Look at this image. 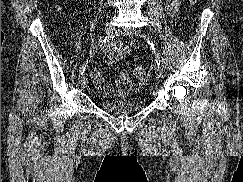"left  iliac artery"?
I'll return each mask as SVG.
<instances>
[{
  "label": "left iliac artery",
  "instance_id": "obj_1",
  "mask_svg": "<svg viewBox=\"0 0 243 182\" xmlns=\"http://www.w3.org/2000/svg\"><path fill=\"white\" fill-rule=\"evenodd\" d=\"M140 37L146 39V41L150 45L151 49L154 51L155 58H156V64H157L158 67H160L159 54L156 52L154 40L152 39V37L149 36V35H145V34H141Z\"/></svg>",
  "mask_w": 243,
  "mask_h": 182
}]
</instances>
